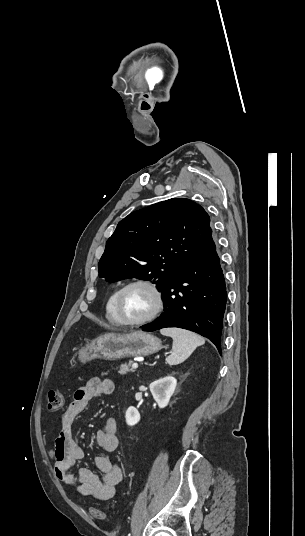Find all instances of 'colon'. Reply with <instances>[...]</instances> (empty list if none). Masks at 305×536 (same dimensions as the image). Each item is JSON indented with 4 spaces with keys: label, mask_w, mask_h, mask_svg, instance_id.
Instances as JSON below:
<instances>
[{
    "label": "colon",
    "mask_w": 305,
    "mask_h": 536,
    "mask_svg": "<svg viewBox=\"0 0 305 536\" xmlns=\"http://www.w3.org/2000/svg\"><path fill=\"white\" fill-rule=\"evenodd\" d=\"M63 405H64V396H63L62 392H60L58 390H53V389L48 390V392H47V411L50 414H56L61 410ZM90 515L92 517H94L96 519H100V520L106 518V513L101 511V510H97V509L90 510Z\"/></svg>",
    "instance_id": "1"
}]
</instances>
